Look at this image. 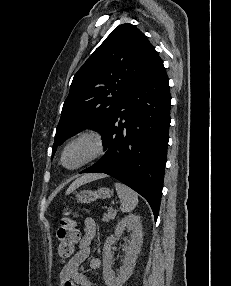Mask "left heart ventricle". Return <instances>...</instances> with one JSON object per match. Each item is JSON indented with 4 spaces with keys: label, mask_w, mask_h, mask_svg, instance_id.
Segmentation results:
<instances>
[{
    "label": "left heart ventricle",
    "mask_w": 231,
    "mask_h": 286,
    "mask_svg": "<svg viewBox=\"0 0 231 286\" xmlns=\"http://www.w3.org/2000/svg\"><path fill=\"white\" fill-rule=\"evenodd\" d=\"M92 151L93 145L90 142L77 143L66 152L64 163L67 167L76 166L86 159Z\"/></svg>",
    "instance_id": "1"
}]
</instances>
